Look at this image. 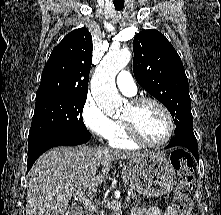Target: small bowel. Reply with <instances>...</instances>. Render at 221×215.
Segmentation results:
<instances>
[{
    "instance_id": "1",
    "label": "small bowel",
    "mask_w": 221,
    "mask_h": 215,
    "mask_svg": "<svg viewBox=\"0 0 221 215\" xmlns=\"http://www.w3.org/2000/svg\"><path fill=\"white\" fill-rule=\"evenodd\" d=\"M132 215H179L173 207H168L164 211L153 207V208H136L133 210Z\"/></svg>"
}]
</instances>
